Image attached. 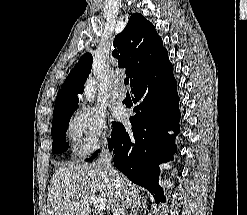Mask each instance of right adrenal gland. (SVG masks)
Here are the masks:
<instances>
[{
    "label": "right adrenal gland",
    "instance_id": "1",
    "mask_svg": "<svg viewBox=\"0 0 247 215\" xmlns=\"http://www.w3.org/2000/svg\"><path fill=\"white\" fill-rule=\"evenodd\" d=\"M143 210H147V206L145 204L140 207L133 206L129 215H137L139 211L142 212Z\"/></svg>",
    "mask_w": 247,
    "mask_h": 215
}]
</instances>
